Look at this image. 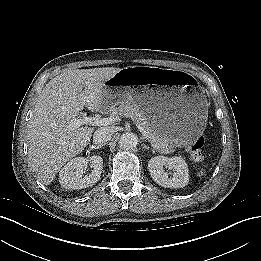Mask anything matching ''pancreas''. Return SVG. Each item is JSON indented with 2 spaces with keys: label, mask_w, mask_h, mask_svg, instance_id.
Instances as JSON below:
<instances>
[{
  "label": "pancreas",
  "mask_w": 261,
  "mask_h": 261,
  "mask_svg": "<svg viewBox=\"0 0 261 261\" xmlns=\"http://www.w3.org/2000/svg\"><path fill=\"white\" fill-rule=\"evenodd\" d=\"M112 117H131L133 120L141 124L148 133V140L151 145L160 153L173 152L174 144L157 134L147 118V114L136 104L122 103L117 106L110 107Z\"/></svg>",
  "instance_id": "obj_1"
}]
</instances>
